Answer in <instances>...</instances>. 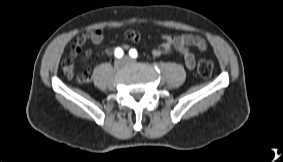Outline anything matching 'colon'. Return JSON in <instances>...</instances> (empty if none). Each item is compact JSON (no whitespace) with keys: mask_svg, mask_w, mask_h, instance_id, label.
<instances>
[{"mask_svg":"<svg viewBox=\"0 0 283 162\" xmlns=\"http://www.w3.org/2000/svg\"><path fill=\"white\" fill-rule=\"evenodd\" d=\"M213 67V62L210 59L202 58L197 65V71L201 77L208 78L212 74ZM73 77H75L80 83H87L90 81V74L86 72H83L76 76L74 75Z\"/></svg>","mask_w":283,"mask_h":162,"instance_id":"obj_1","label":"colon"}]
</instances>
